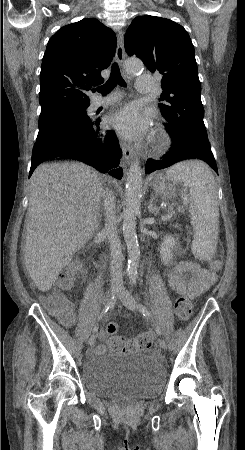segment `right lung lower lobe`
<instances>
[{"mask_svg":"<svg viewBox=\"0 0 245 450\" xmlns=\"http://www.w3.org/2000/svg\"><path fill=\"white\" fill-rule=\"evenodd\" d=\"M70 123L60 128L56 135L36 145L32 152L29 177L43 161L53 158H69L83 161L102 173L121 179V149L112 131L99 134V119Z\"/></svg>","mask_w":245,"mask_h":450,"instance_id":"98d812e1","label":"right lung lower lobe"}]
</instances>
